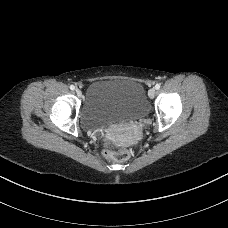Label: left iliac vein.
Wrapping results in <instances>:
<instances>
[{
	"mask_svg": "<svg viewBox=\"0 0 228 228\" xmlns=\"http://www.w3.org/2000/svg\"><path fill=\"white\" fill-rule=\"evenodd\" d=\"M155 94H156V90L154 88L149 89L148 95L150 98H154Z\"/></svg>",
	"mask_w": 228,
	"mask_h": 228,
	"instance_id": "4c4485c4",
	"label": "left iliac vein"
}]
</instances>
